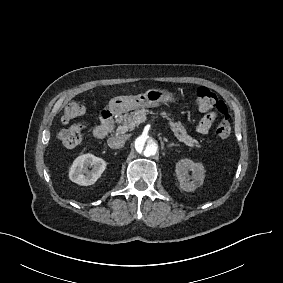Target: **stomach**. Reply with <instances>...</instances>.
I'll list each match as a JSON object with an SVG mask.
<instances>
[{"label":"stomach","mask_w":283,"mask_h":283,"mask_svg":"<svg viewBox=\"0 0 283 283\" xmlns=\"http://www.w3.org/2000/svg\"><path fill=\"white\" fill-rule=\"evenodd\" d=\"M179 97L168 89L151 88L145 93L131 96H117L112 98L109 109L117 116L135 109L159 107L163 104H173Z\"/></svg>","instance_id":"1"}]
</instances>
